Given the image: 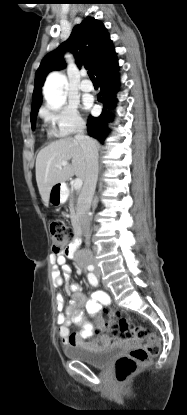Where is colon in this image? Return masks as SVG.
I'll return each mask as SVG.
<instances>
[{"instance_id":"colon-1","label":"colon","mask_w":187,"mask_h":415,"mask_svg":"<svg viewBox=\"0 0 187 415\" xmlns=\"http://www.w3.org/2000/svg\"><path fill=\"white\" fill-rule=\"evenodd\" d=\"M50 233L53 252L68 254L75 242L73 229L64 221L54 220L50 223ZM97 327L102 332L137 339L143 343L142 346L133 348L128 355L117 359L114 370L116 379L120 382L127 380L160 352V342L156 336L144 326L133 323L106 306L100 307L97 311Z\"/></svg>"}]
</instances>
